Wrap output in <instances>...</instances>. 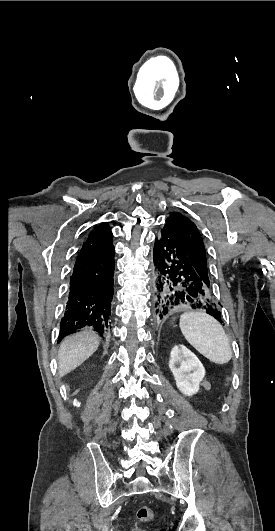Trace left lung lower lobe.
<instances>
[{"label": "left lung lower lobe", "mask_w": 275, "mask_h": 531, "mask_svg": "<svg viewBox=\"0 0 275 531\" xmlns=\"http://www.w3.org/2000/svg\"><path fill=\"white\" fill-rule=\"evenodd\" d=\"M153 302L157 318L174 309L203 310L222 323L211 289L203 281L175 230L166 223L153 249Z\"/></svg>", "instance_id": "1"}]
</instances>
